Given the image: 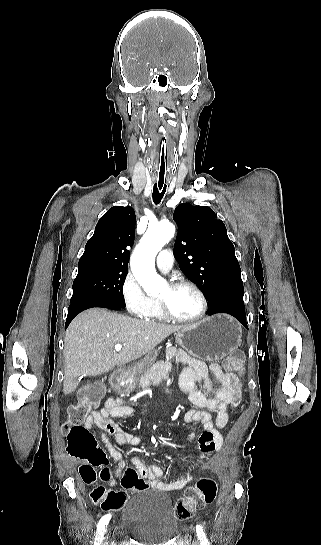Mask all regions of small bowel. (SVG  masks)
Segmentation results:
<instances>
[{
  "instance_id": "small-bowel-1",
  "label": "small bowel",
  "mask_w": 321,
  "mask_h": 545,
  "mask_svg": "<svg viewBox=\"0 0 321 545\" xmlns=\"http://www.w3.org/2000/svg\"><path fill=\"white\" fill-rule=\"evenodd\" d=\"M188 367L180 375L179 384L182 390L188 394L190 402L198 409L191 408L185 415L186 422H195L202 425L203 431L198 435L194 430H188L187 438L184 442H192L198 438V445L202 456L217 451L221 448L223 437L220 429L228 423V408L237 406L241 400V383L237 377L226 373L217 363L206 365L204 362L196 359H187ZM212 373L220 388L213 389L212 381L209 377ZM198 383L203 384L204 391L197 387ZM132 413V409L127 406L121 398H109L106 400L103 408L94 411L87 416L85 426L88 429L97 428L101 432L102 440L111 458L116 464V469L111 473L107 469L108 456L104 453L102 458L96 460H87L80 466V475L87 484H92L97 480L95 468H101L100 477L109 486H115L126 471V463L123 455L109 436H113L115 441L129 449H134L140 445V438L131 433L125 432L114 418L127 417ZM212 413L216 415L215 419ZM131 462L134 470L144 479H148L151 486L162 491H175L183 489L193 477L188 476L170 483L162 481L164 472L156 464H148L138 456H132Z\"/></svg>"
}]
</instances>
